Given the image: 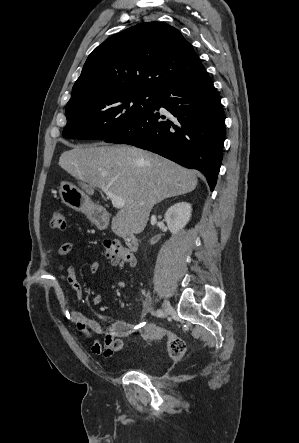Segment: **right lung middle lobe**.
<instances>
[{"mask_svg": "<svg viewBox=\"0 0 299 443\" xmlns=\"http://www.w3.org/2000/svg\"><path fill=\"white\" fill-rule=\"evenodd\" d=\"M155 102L156 93L133 90L109 92L69 103L63 137L104 140L150 111Z\"/></svg>", "mask_w": 299, "mask_h": 443, "instance_id": "right-lung-middle-lobe-1", "label": "right lung middle lobe"}]
</instances>
